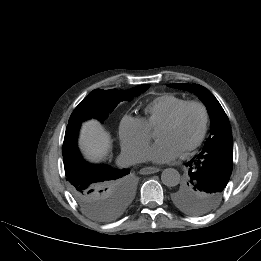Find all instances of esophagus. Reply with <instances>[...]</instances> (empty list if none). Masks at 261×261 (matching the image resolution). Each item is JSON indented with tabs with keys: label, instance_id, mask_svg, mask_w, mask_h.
Here are the masks:
<instances>
[{
	"label": "esophagus",
	"instance_id": "esophagus-1",
	"mask_svg": "<svg viewBox=\"0 0 261 261\" xmlns=\"http://www.w3.org/2000/svg\"><path fill=\"white\" fill-rule=\"evenodd\" d=\"M160 169L157 167H144L140 170V174L148 175V174H154L159 172Z\"/></svg>",
	"mask_w": 261,
	"mask_h": 261
}]
</instances>
